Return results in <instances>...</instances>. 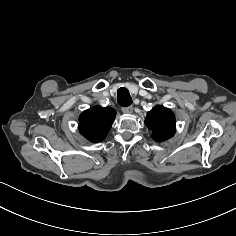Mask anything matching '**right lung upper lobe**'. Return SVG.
I'll use <instances>...</instances> for the list:
<instances>
[{"label": "right lung upper lobe", "instance_id": "right-lung-upper-lobe-1", "mask_svg": "<svg viewBox=\"0 0 236 236\" xmlns=\"http://www.w3.org/2000/svg\"><path fill=\"white\" fill-rule=\"evenodd\" d=\"M116 117V111L110 107H93L79 117V131L91 142H99L108 134Z\"/></svg>", "mask_w": 236, "mask_h": 236}]
</instances>
